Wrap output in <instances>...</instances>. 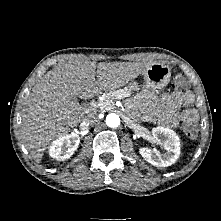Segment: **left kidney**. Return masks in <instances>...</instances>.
<instances>
[{"label":"left kidney","instance_id":"left-kidney-1","mask_svg":"<svg viewBox=\"0 0 221 221\" xmlns=\"http://www.w3.org/2000/svg\"><path fill=\"white\" fill-rule=\"evenodd\" d=\"M155 139L163 140L164 153L152 151L149 148H140V155L150 164L156 167H167L176 162L180 155V139L177 134L168 128L156 127L152 129Z\"/></svg>","mask_w":221,"mask_h":221}]
</instances>
